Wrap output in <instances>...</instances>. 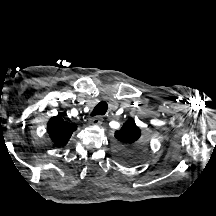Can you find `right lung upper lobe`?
Listing matches in <instances>:
<instances>
[{"label":"right lung upper lobe","instance_id":"1","mask_svg":"<svg viewBox=\"0 0 216 216\" xmlns=\"http://www.w3.org/2000/svg\"><path fill=\"white\" fill-rule=\"evenodd\" d=\"M77 126L63 120L60 114L52 117L47 126L48 134L56 147L67 144Z\"/></svg>","mask_w":216,"mask_h":216}]
</instances>
